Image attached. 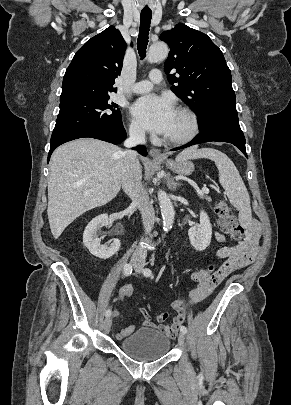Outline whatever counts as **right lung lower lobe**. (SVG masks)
Instances as JSON below:
<instances>
[{
  "instance_id": "obj_1",
  "label": "right lung lower lobe",
  "mask_w": 291,
  "mask_h": 405,
  "mask_svg": "<svg viewBox=\"0 0 291 405\" xmlns=\"http://www.w3.org/2000/svg\"><path fill=\"white\" fill-rule=\"evenodd\" d=\"M90 137L95 139H100L103 141H107L113 144H119L126 138V131L123 128V124L120 126L110 128V129H84L75 131L61 137H58L51 141L50 143V151L48 156V161L50 159V155L57 148L59 145L74 140L78 138ZM136 149L141 155L145 156L147 154L146 148L142 145L137 146Z\"/></svg>"
}]
</instances>
